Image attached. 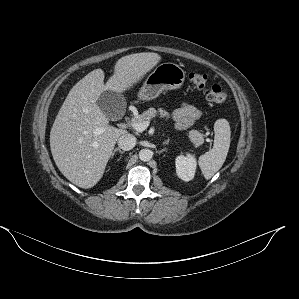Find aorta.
I'll return each instance as SVG.
<instances>
[{"label":"aorta","instance_id":"aorta-1","mask_svg":"<svg viewBox=\"0 0 299 299\" xmlns=\"http://www.w3.org/2000/svg\"><path fill=\"white\" fill-rule=\"evenodd\" d=\"M153 152L149 149H142L139 152V158L143 162H148L152 159Z\"/></svg>","mask_w":299,"mask_h":299}]
</instances>
